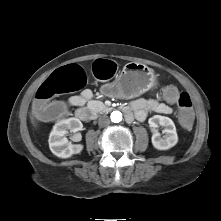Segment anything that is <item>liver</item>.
Returning a JSON list of instances; mask_svg holds the SVG:
<instances>
[{
    "instance_id": "obj_1",
    "label": "liver",
    "mask_w": 221,
    "mask_h": 221,
    "mask_svg": "<svg viewBox=\"0 0 221 221\" xmlns=\"http://www.w3.org/2000/svg\"><path fill=\"white\" fill-rule=\"evenodd\" d=\"M35 114H36V110H35V108H33V111L31 113V120H32V123H33L34 126H36L35 121H34Z\"/></svg>"
}]
</instances>
